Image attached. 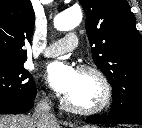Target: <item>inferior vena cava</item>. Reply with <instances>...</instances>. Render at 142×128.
<instances>
[{
	"mask_svg": "<svg viewBox=\"0 0 142 128\" xmlns=\"http://www.w3.org/2000/svg\"><path fill=\"white\" fill-rule=\"evenodd\" d=\"M33 117L37 128H53L58 123L55 115L51 112V105L47 99H42L37 103Z\"/></svg>",
	"mask_w": 142,
	"mask_h": 128,
	"instance_id": "inferior-vena-cava-1",
	"label": "inferior vena cava"
}]
</instances>
